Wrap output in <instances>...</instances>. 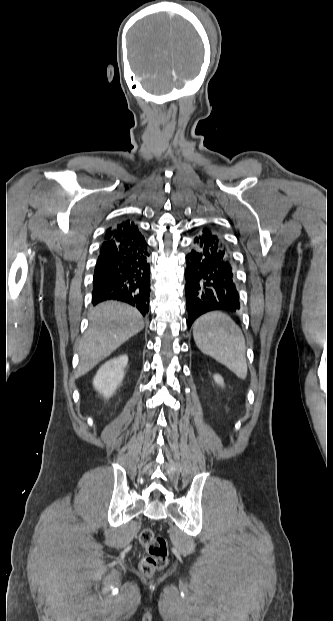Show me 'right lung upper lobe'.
<instances>
[{"instance_id": "cb5924a9", "label": "right lung upper lobe", "mask_w": 333, "mask_h": 621, "mask_svg": "<svg viewBox=\"0 0 333 621\" xmlns=\"http://www.w3.org/2000/svg\"><path fill=\"white\" fill-rule=\"evenodd\" d=\"M105 241L114 240L126 246H143L146 245V241L143 235L140 233L134 222L125 220L113 228L110 227L106 230L103 238Z\"/></svg>"}]
</instances>
